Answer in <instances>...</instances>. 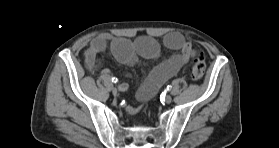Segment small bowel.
I'll use <instances>...</instances> for the list:
<instances>
[{"label": "small bowel", "instance_id": "1", "mask_svg": "<svg viewBox=\"0 0 279 148\" xmlns=\"http://www.w3.org/2000/svg\"><path fill=\"white\" fill-rule=\"evenodd\" d=\"M108 44L114 56L123 64L134 65L140 58L153 60L160 55L159 43L151 37H141L132 42L128 39L116 38L109 33L97 35L84 53V66L92 73L99 71L98 56L103 53ZM163 44L177 53L165 59L155 66L143 85L137 91V99L146 102L158 91V89L171 77H173L184 65L195 58L196 49L192 43L178 32H170L163 38ZM108 73L107 69L102 70ZM139 108H128V112L134 114Z\"/></svg>", "mask_w": 279, "mask_h": 148}]
</instances>
